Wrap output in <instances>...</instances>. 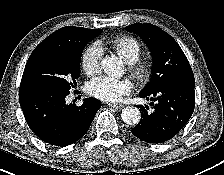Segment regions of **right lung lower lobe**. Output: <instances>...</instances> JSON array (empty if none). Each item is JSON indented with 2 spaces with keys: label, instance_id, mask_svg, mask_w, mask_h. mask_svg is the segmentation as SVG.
Returning <instances> with one entry per match:
<instances>
[{
  "label": "right lung lower lobe",
  "instance_id": "1",
  "mask_svg": "<svg viewBox=\"0 0 224 175\" xmlns=\"http://www.w3.org/2000/svg\"><path fill=\"white\" fill-rule=\"evenodd\" d=\"M69 91L44 86L20 87L19 102L30 129L42 141L68 146L85 135L101 102L87 98L81 106L66 103Z\"/></svg>",
  "mask_w": 224,
  "mask_h": 175
}]
</instances>
